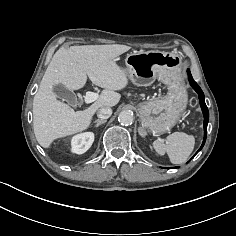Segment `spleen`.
<instances>
[{
    "mask_svg": "<svg viewBox=\"0 0 236 236\" xmlns=\"http://www.w3.org/2000/svg\"><path fill=\"white\" fill-rule=\"evenodd\" d=\"M167 142L164 144L160 140L153 142L155 151L168 157L173 164H182L187 161L195 146V138L184 132H174L167 137Z\"/></svg>",
    "mask_w": 236,
    "mask_h": 236,
    "instance_id": "obj_1",
    "label": "spleen"
}]
</instances>
